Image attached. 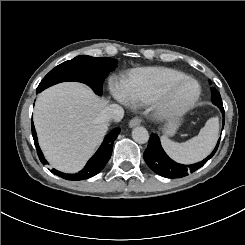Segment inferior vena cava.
Wrapping results in <instances>:
<instances>
[{"instance_id": "602c4592", "label": "inferior vena cava", "mask_w": 245, "mask_h": 245, "mask_svg": "<svg viewBox=\"0 0 245 245\" xmlns=\"http://www.w3.org/2000/svg\"><path fill=\"white\" fill-rule=\"evenodd\" d=\"M124 116V110L117 104L106 106L103 111L99 114V120L101 121H121Z\"/></svg>"}]
</instances>
